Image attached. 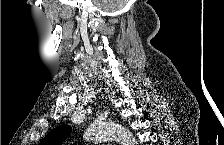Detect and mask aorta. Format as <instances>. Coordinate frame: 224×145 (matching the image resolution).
Returning <instances> with one entry per match:
<instances>
[{
    "label": "aorta",
    "instance_id": "1",
    "mask_svg": "<svg viewBox=\"0 0 224 145\" xmlns=\"http://www.w3.org/2000/svg\"><path fill=\"white\" fill-rule=\"evenodd\" d=\"M87 140L94 142L118 141L121 145H136L133 134L116 123H94L84 133Z\"/></svg>",
    "mask_w": 224,
    "mask_h": 145
}]
</instances>
